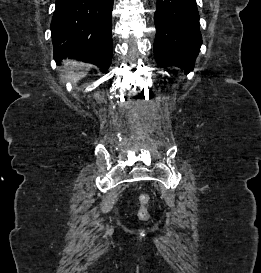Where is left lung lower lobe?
Listing matches in <instances>:
<instances>
[{"label": "left lung lower lobe", "mask_w": 261, "mask_h": 273, "mask_svg": "<svg viewBox=\"0 0 261 273\" xmlns=\"http://www.w3.org/2000/svg\"><path fill=\"white\" fill-rule=\"evenodd\" d=\"M154 22L158 65L192 71L202 44L196 0H157Z\"/></svg>", "instance_id": "obj_1"}]
</instances>
